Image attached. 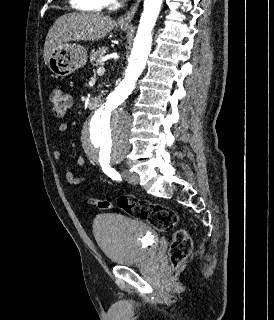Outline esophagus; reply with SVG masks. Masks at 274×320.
<instances>
[{
	"label": "esophagus",
	"instance_id": "esophagus-1",
	"mask_svg": "<svg viewBox=\"0 0 274 320\" xmlns=\"http://www.w3.org/2000/svg\"><path fill=\"white\" fill-rule=\"evenodd\" d=\"M140 2L141 0H134L129 10L122 17L118 19L119 26H127L131 23V20L134 18L137 12Z\"/></svg>",
	"mask_w": 274,
	"mask_h": 320
}]
</instances>
